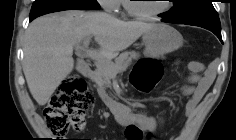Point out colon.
<instances>
[{
	"label": "colon",
	"mask_w": 236,
	"mask_h": 140,
	"mask_svg": "<svg viewBox=\"0 0 236 140\" xmlns=\"http://www.w3.org/2000/svg\"><path fill=\"white\" fill-rule=\"evenodd\" d=\"M163 74L162 64L153 59H141L131 73L133 86L144 93L155 89ZM94 96L86 83L76 74L70 75L60 85L44 109V117L52 134L62 137L70 128L81 130L85 124V113L93 105ZM129 140H142L144 130L137 119L127 126Z\"/></svg>",
	"instance_id": "obj_1"
}]
</instances>
